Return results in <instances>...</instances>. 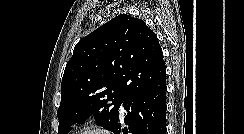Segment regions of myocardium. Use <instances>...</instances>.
<instances>
[{
  "label": "myocardium",
  "mask_w": 244,
  "mask_h": 134,
  "mask_svg": "<svg viewBox=\"0 0 244 134\" xmlns=\"http://www.w3.org/2000/svg\"><path fill=\"white\" fill-rule=\"evenodd\" d=\"M72 134H113V133L107 127L101 124L89 123L80 127Z\"/></svg>",
  "instance_id": "f54148a6"
}]
</instances>
